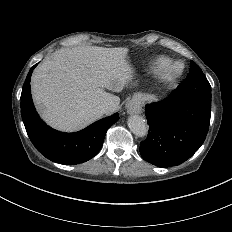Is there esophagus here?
Listing matches in <instances>:
<instances>
[{"label": "esophagus", "mask_w": 232, "mask_h": 232, "mask_svg": "<svg viewBox=\"0 0 232 232\" xmlns=\"http://www.w3.org/2000/svg\"><path fill=\"white\" fill-rule=\"evenodd\" d=\"M126 110L128 114H139L141 113V99L139 96H134L130 101L126 103Z\"/></svg>", "instance_id": "esophagus-1"}]
</instances>
